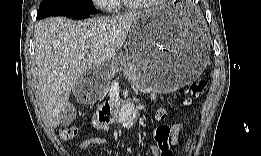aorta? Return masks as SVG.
<instances>
[{
  "label": "aorta",
  "mask_w": 261,
  "mask_h": 156,
  "mask_svg": "<svg viewBox=\"0 0 261 156\" xmlns=\"http://www.w3.org/2000/svg\"><path fill=\"white\" fill-rule=\"evenodd\" d=\"M137 120V112L133 103H126L120 111L119 121L126 129H131Z\"/></svg>",
  "instance_id": "762f6f07"
}]
</instances>
